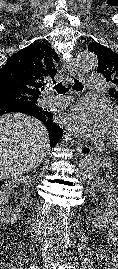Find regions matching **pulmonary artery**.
<instances>
[{
    "label": "pulmonary artery",
    "instance_id": "pulmonary-artery-1",
    "mask_svg": "<svg viewBox=\"0 0 118 269\" xmlns=\"http://www.w3.org/2000/svg\"><path fill=\"white\" fill-rule=\"evenodd\" d=\"M86 83L89 89L91 90H99L102 87L103 80L101 76H90L86 79ZM54 102V99H50Z\"/></svg>",
    "mask_w": 118,
    "mask_h": 269
}]
</instances>
